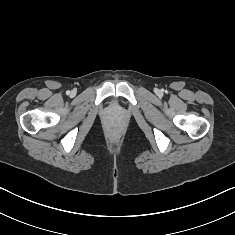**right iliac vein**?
I'll list each match as a JSON object with an SVG mask.
<instances>
[{"mask_svg": "<svg viewBox=\"0 0 235 235\" xmlns=\"http://www.w3.org/2000/svg\"><path fill=\"white\" fill-rule=\"evenodd\" d=\"M75 93H76V92L73 90V91H71L70 95H71V96H74Z\"/></svg>", "mask_w": 235, "mask_h": 235, "instance_id": "63e3f726", "label": "right iliac vein"}]
</instances>
